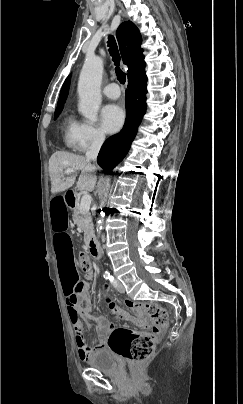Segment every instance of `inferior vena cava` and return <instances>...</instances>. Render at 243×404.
<instances>
[{
    "mask_svg": "<svg viewBox=\"0 0 243 404\" xmlns=\"http://www.w3.org/2000/svg\"><path fill=\"white\" fill-rule=\"evenodd\" d=\"M105 140V136H97V138H94L89 150H87L85 156L87 160H93V162H96L97 156L99 154V150Z\"/></svg>",
    "mask_w": 243,
    "mask_h": 404,
    "instance_id": "inferior-vena-cava-1",
    "label": "inferior vena cava"
}]
</instances>
